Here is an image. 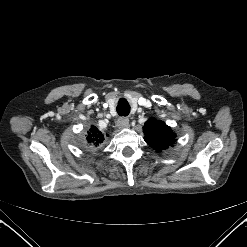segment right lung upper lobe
<instances>
[{"label":"right lung upper lobe","mask_w":247,"mask_h":247,"mask_svg":"<svg viewBox=\"0 0 247 247\" xmlns=\"http://www.w3.org/2000/svg\"><path fill=\"white\" fill-rule=\"evenodd\" d=\"M87 146L89 149L94 150L100 148L105 140L104 134L94 125H91L87 132Z\"/></svg>","instance_id":"right-lung-upper-lobe-1"}]
</instances>
